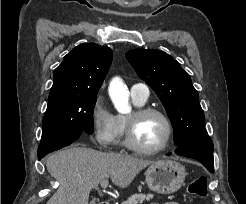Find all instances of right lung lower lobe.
Masks as SVG:
<instances>
[{"label": "right lung lower lobe", "instance_id": "right-lung-lower-lobe-1", "mask_svg": "<svg viewBox=\"0 0 246 204\" xmlns=\"http://www.w3.org/2000/svg\"><path fill=\"white\" fill-rule=\"evenodd\" d=\"M44 156L38 157V159L40 160L41 158H43Z\"/></svg>", "mask_w": 246, "mask_h": 204}]
</instances>
